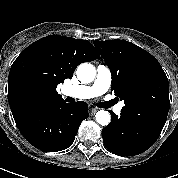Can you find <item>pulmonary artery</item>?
<instances>
[{"instance_id":"obj_1","label":"pulmonary artery","mask_w":178,"mask_h":178,"mask_svg":"<svg viewBox=\"0 0 178 178\" xmlns=\"http://www.w3.org/2000/svg\"><path fill=\"white\" fill-rule=\"evenodd\" d=\"M111 70L105 65H99L96 70V78L91 85H73L65 86L62 93L65 96L80 100H88L100 96L108 91L111 86ZM122 104L114 107L116 113H120Z\"/></svg>"}]
</instances>
